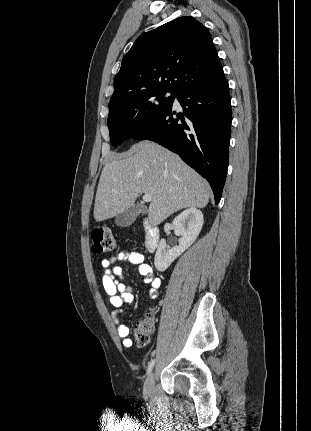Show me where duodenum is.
I'll return each mask as SVG.
<instances>
[{
    "label": "duodenum",
    "instance_id": "obj_1",
    "mask_svg": "<svg viewBox=\"0 0 311 431\" xmlns=\"http://www.w3.org/2000/svg\"><path fill=\"white\" fill-rule=\"evenodd\" d=\"M145 228V247L149 252H154L160 241V233L157 226L150 223L148 220L144 221Z\"/></svg>",
    "mask_w": 311,
    "mask_h": 431
}]
</instances>
